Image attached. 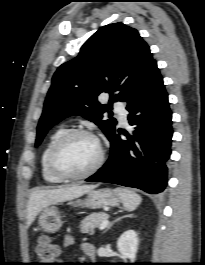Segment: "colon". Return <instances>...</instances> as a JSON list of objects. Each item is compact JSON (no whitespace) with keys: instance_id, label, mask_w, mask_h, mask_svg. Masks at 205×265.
<instances>
[{"instance_id":"5ec220e1","label":"colon","mask_w":205,"mask_h":265,"mask_svg":"<svg viewBox=\"0 0 205 265\" xmlns=\"http://www.w3.org/2000/svg\"><path fill=\"white\" fill-rule=\"evenodd\" d=\"M36 254L40 262L39 265H55L59 259L60 250L50 238L43 236L37 243Z\"/></svg>"}]
</instances>
